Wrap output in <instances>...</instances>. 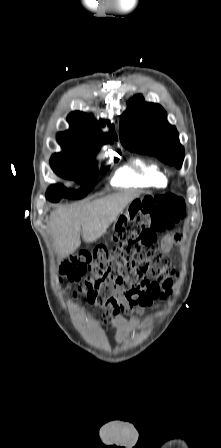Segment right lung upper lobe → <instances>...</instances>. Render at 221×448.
Here are the masks:
<instances>
[{"instance_id": "obj_1", "label": "right lung upper lobe", "mask_w": 221, "mask_h": 448, "mask_svg": "<svg viewBox=\"0 0 221 448\" xmlns=\"http://www.w3.org/2000/svg\"><path fill=\"white\" fill-rule=\"evenodd\" d=\"M67 120L70 129L57 134V141L63 149L62 153L80 158H94L102 144L112 143V138L117 140L114 126L108 120L106 123L110 126L109 134L96 129L95 121L86 113L72 112Z\"/></svg>"}]
</instances>
